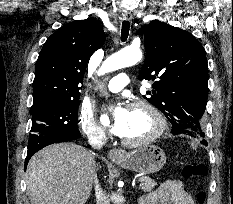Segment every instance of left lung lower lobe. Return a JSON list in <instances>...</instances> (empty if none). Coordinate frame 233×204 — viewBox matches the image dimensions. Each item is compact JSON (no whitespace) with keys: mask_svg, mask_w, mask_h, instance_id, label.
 <instances>
[{"mask_svg":"<svg viewBox=\"0 0 233 204\" xmlns=\"http://www.w3.org/2000/svg\"><path fill=\"white\" fill-rule=\"evenodd\" d=\"M201 143L204 144V145H207V142H206L205 139H202Z\"/></svg>","mask_w":233,"mask_h":204,"instance_id":"0a47b994","label":"left lung lower lobe"}]
</instances>
